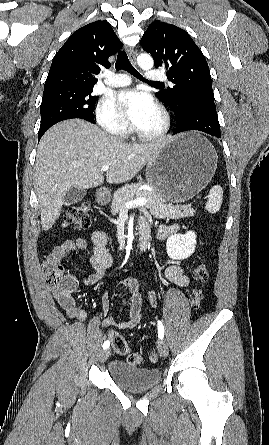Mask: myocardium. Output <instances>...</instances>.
I'll list each match as a JSON object with an SVG mask.
<instances>
[{
	"label": "myocardium",
	"instance_id": "myocardium-1",
	"mask_svg": "<svg viewBox=\"0 0 269 445\" xmlns=\"http://www.w3.org/2000/svg\"><path fill=\"white\" fill-rule=\"evenodd\" d=\"M157 111L161 117L162 120V124L161 127L153 132V133H145L142 132L141 130H139L138 128H134V132L135 134L144 141H152V140H157V139H161L164 136L167 135V133L170 130V126H171V120H170V116L168 114V112L162 107V106H157Z\"/></svg>",
	"mask_w": 269,
	"mask_h": 445
}]
</instances>
